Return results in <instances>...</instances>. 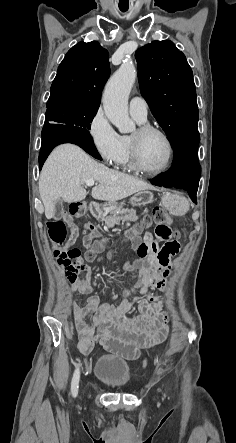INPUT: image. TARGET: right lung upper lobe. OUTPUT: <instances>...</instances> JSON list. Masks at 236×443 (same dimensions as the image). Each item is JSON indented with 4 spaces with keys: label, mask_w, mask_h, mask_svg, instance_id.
<instances>
[{
    "label": "right lung upper lobe",
    "mask_w": 236,
    "mask_h": 443,
    "mask_svg": "<svg viewBox=\"0 0 236 443\" xmlns=\"http://www.w3.org/2000/svg\"><path fill=\"white\" fill-rule=\"evenodd\" d=\"M110 75L109 53L97 41L79 42L65 55L51 85L47 103L71 101L99 107Z\"/></svg>",
    "instance_id": "right-lung-upper-lobe-1"
}]
</instances>
